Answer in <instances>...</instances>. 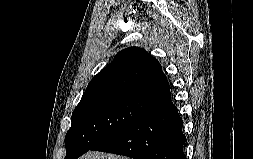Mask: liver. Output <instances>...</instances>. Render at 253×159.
Listing matches in <instances>:
<instances>
[{
    "instance_id": "liver-1",
    "label": "liver",
    "mask_w": 253,
    "mask_h": 159,
    "mask_svg": "<svg viewBox=\"0 0 253 159\" xmlns=\"http://www.w3.org/2000/svg\"><path fill=\"white\" fill-rule=\"evenodd\" d=\"M79 159H130V158L114 154H106L97 151H89L83 156H81Z\"/></svg>"
}]
</instances>
